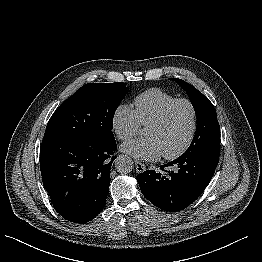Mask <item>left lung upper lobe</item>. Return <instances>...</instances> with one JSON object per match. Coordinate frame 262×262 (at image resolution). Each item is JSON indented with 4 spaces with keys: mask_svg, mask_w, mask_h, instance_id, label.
Returning a JSON list of instances; mask_svg holds the SVG:
<instances>
[{
    "mask_svg": "<svg viewBox=\"0 0 262 262\" xmlns=\"http://www.w3.org/2000/svg\"><path fill=\"white\" fill-rule=\"evenodd\" d=\"M171 80L176 81L187 92L197 118L195 136L183 155L220 153V126L213 104L191 84L178 78H171Z\"/></svg>",
    "mask_w": 262,
    "mask_h": 262,
    "instance_id": "1",
    "label": "left lung upper lobe"
}]
</instances>
